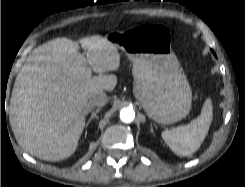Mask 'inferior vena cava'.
<instances>
[{
    "instance_id": "1",
    "label": "inferior vena cava",
    "mask_w": 245,
    "mask_h": 187,
    "mask_svg": "<svg viewBox=\"0 0 245 187\" xmlns=\"http://www.w3.org/2000/svg\"><path fill=\"white\" fill-rule=\"evenodd\" d=\"M108 101V97L105 92L100 91L94 93L89 98L88 106H104Z\"/></svg>"
}]
</instances>
